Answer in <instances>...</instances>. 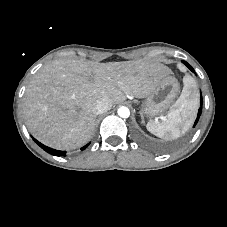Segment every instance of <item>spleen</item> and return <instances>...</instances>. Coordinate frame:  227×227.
<instances>
[{
  "mask_svg": "<svg viewBox=\"0 0 227 227\" xmlns=\"http://www.w3.org/2000/svg\"><path fill=\"white\" fill-rule=\"evenodd\" d=\"M184 84L181 96L171 107L166 118L160 122L150 120L147 123L146 127L150 133L165 140H175L189 129L198 102L196 98H189L190 88L194 86L193 79L186 77Z\"/></svg>",
  "mask_w": 227,
  "mask_h": 227,
  "instance_id": "spleen-1",
  "label": "spleen"
}]
</instances>
